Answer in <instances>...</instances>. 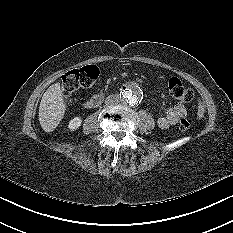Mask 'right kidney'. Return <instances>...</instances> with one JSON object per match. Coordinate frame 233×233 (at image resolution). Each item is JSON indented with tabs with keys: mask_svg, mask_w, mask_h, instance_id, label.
<instances>
[{
	"mask_svg": "<svg viewBox=\"0 0 233 233\" xmlns=\"http://www.w3.org/2000/svg\"><path fill=\"white\" fill-rule=\"evenodd\" d=\"M81 124H82L81 117H75V118H73V119L70 120L68 128L71 131H75V130H77L81 126Z\"/></svg>",
	"mask_w": 233,
	"mask_h": 233,
	"instance_id": "1",
	"label": "right kidney"
}]
</instances>
